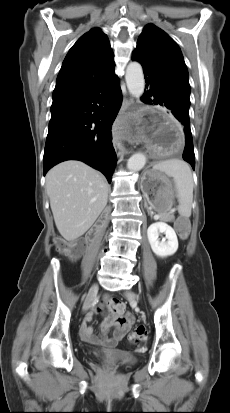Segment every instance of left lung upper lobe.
Returning a JSON list of instances; mask_svg holds the SVG:
<instances>
[{"label":"left lung upper lobe","mask_w":230,"mask_h":413,"mask_svg":"<svg viewBox=\"0 0 230 413\" xmlns=\"http://www.w3.org/2000/svg\"><path fill=\"white\" fill-rule=\"evenodd\" d=\"M132 59L158 73L174 91L189 102L190 85L183 55L176 42L153 24L140 34Z\"/></svg>","instance_id":"1"}]
</instances>
